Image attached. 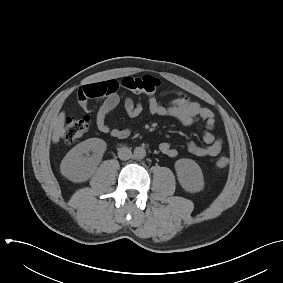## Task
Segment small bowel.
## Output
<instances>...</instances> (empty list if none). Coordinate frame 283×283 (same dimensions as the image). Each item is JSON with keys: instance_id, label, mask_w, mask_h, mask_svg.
Returning a JSON list of instances; mask_svg holds the SVG:
<instances>
[{"instance_id": "small-bowel-1", "label": "small bowel", "mask_w": 283, "mask_h": 283, "mask_svg": "<svg viewBox=\"0 0 283 283\" xmlns=\"http://www.w3.org/2000/svg\"><path fill=\"white\" fill-rule=\"evenodd\" d=\"M119 82L108 80L84 85L79 89L78 102L85 111H91L90 99L102 98L103 103L99 106L95 114L97 128L100 132L110 134L117 139L128 138L131 134V128L111 127L107 122V115L113 111L120 103L118 95ZM174 94L175 98L164 105L157 97H150L148 101V113L151 116L172 117L184 125H190L197 120L204 121L205 130L203 132L204 144H198L190 141L187 144V150L196 157H215L223 146L222 139L218 138L213 130L216 124L214 112L193 101L187 93L180 90H169L164 94ZM124 109L128 117L137 118L144 112V106L141 102L135 101L131 97L125 98ZM160 151L168 157H176L178 151L168 142H162L159 145Z\"/></svg>"}]
</instances>
